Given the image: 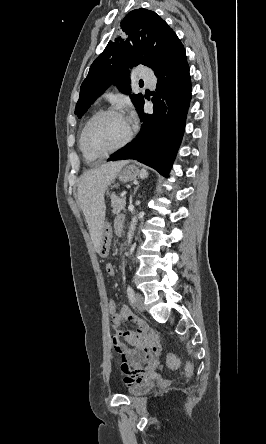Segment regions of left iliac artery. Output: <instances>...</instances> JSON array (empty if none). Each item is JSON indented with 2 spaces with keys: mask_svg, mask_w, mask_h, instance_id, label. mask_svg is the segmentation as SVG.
<instances>
[{
  "mask_svg": "<svg viewBox=\"0 0 266 444\" xmlns=\"http://www.w3.org/2000/svg\"><path fill=\"white\" fill-rule=\"evenodd\" d=\"M127 295H128L129 300L131 302H134V290L130 285H128V287H127Z\"/></svg>",
  "mask_w": 266,
  "mask_h": 444,
  "instance_id": "44dca946",
  "label": "left iliac artery"
}]
</instances>
